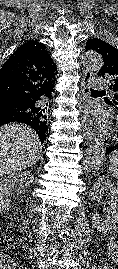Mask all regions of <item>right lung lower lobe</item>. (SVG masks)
<instances>
[{"instance_id":"1","label":"right lung lower lobe","mask_w":118,"mask_h":269,"mask_svg":"<svg viewBox=\"0 0 118 269\" xmlns=\"http://www.w3.org/2000/svg\"><path fill=\"white\" fill-rule=\"evenodd\" d=\"M38 104L33 99L13 95L0 97V126L10 122H22L30 126ZM39 136V135H38ZM47 138V137H46ZM41 143L42 141L40 139Z\"/></svg>"}]
</instances>
